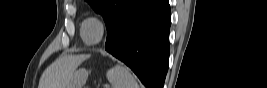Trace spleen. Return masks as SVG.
<instances>
[{
  "instance_id": "obj_1",
  "label": "spleen",
  "mask_w": 267,
  "mask_h": 88,
  "mask_svg": "<svg viewBox=\"0 0 267 88\" xmlns=\"http://www.w3.org/2000/svg\"><path fill=\"white\" fill-rule=\"evenodd\" d=\"M106 75L113 88H140L134 75L122 65L108 69Z\"/></svg>"
}]
</instances>
